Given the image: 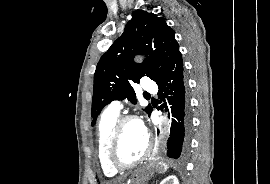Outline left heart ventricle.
Instances as JSON below:
<instances>
[{
    "instance_id": "b2bd125f",
    "label": "left heart ventricle",
    "mask_w": 270,
    "mask_h": 184,
    "mask_svg": "<svg viewBox=\"0 0 270 184\" xmlns=\"http://www.w3.org/2000/svg\"><path fill=\"white\" fill-rule=\"evenodd\" d=\"M147 146V134L139 122L131 121L123 127L117 150L119 161L128 163L138 159Z\"/></svg>"
}]
</instances>
